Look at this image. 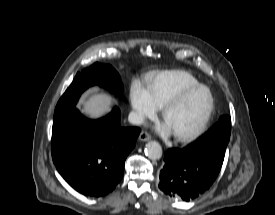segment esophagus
<instances>
[{
  "label": "esophagus",
  "mask_w": 275,
  "mask_h": 215,
  "mask_svg": "<svg viewBox=\"0 0 275 215\" xmlns=\"http://www.w3.org/2000/svg\"><path fill=\"white\" fill-rule=\"evenodd\" d=\"M150 139H151V136H150V134H149L148 132H146V131H142V132L140 133V135H139V140H140V141L145 142V141H148V140H150Z\"/></svg>",
  "instance_id": "1"
}]
</instances>
